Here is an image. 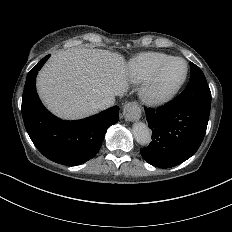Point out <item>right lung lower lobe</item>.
<instances>
[{
  "label": "right lung lower lobe",
  "mask_w": 232,
  "mask_h": 232,
  "mask_svg": "<svg viewBox=\"0 0 232 232\" xmlns=\"http://www.w3.org/2000/svg\"><path fill=\"white\" fill-rule=\"evenodd\" d=\"M45 56L27 75L22 97V116L36 148L48 159L64 165H80L99 151L109 126L118 122L119 107L94 116L63 121L52 115L36 92V76L48 60Z\"/></svg>",
  "instance_id": "98d812e1"
}]
</instances>
